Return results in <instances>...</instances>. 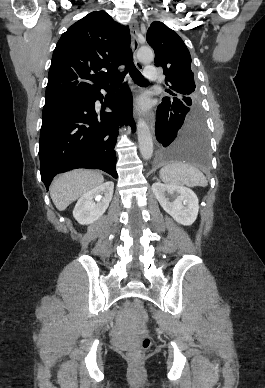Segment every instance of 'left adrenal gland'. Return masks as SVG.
<instances>
[{"label": "left adrenal gland", "mask_w": 265, "mask_h": 388, "mask_svg": "<svg viewBox=\"0 0 265 388\" xmlns=\"http://www.w3.org/2000/svg\"><path fill=\"white\" fill-rule=\"evenodd\" d=\"M153 180H157V178H153Z\"/></svg>", "instance_id": "obj_1"}]
</instances>
